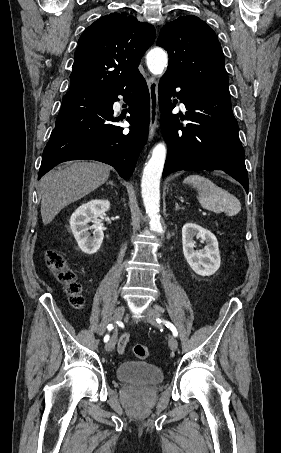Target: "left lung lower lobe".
<instances>
[{
    "instance_id": "obj_1",
    "label": "left lung lower lobe",
    "mask_w": 281,
    "mask_h": 453,
    "mask_svg": "<svg viewBox=\"0 0 281 453\" xmlns=\"http://www.w3.org/2000/svg\"><path fill=\"white\" fill-rule=\"evenodd\" d=\"M177 87L181 91L174 94ZM172 96H177L188 110L186 117L180 115L181 120L191 121L185 127L179 123L178 114H171L175 106L171 103ZM159 103L162 133L168 143L163 177L180 170H223L248 193L245 153L229 91L190 89L164 74L159 83Z\"/></svg>"
}]
</instances>
